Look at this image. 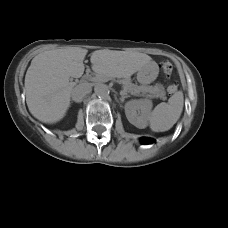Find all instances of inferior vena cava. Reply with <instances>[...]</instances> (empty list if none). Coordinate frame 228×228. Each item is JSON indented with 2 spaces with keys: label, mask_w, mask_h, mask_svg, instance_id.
<instances>
[{
  "label": "inferior vena cava",
  "mask_w": 228,
  "mask_h": 228,
  "mask_svg": "<svg viewBox=\"0 0 228 228\" xmlns=\"http://www.w3.org/2000/svg\"><path fill=\"white\" fill-rule=\"evenodd\" d=\"M90 91H91L90 86H87L86 84H80L72 90L71 92L72 100L77 103L82 102L84 97L88 93H90Z\"/></svg>",
  "instance_id": "inferior-vena-cava-1"
}]
</instances>
